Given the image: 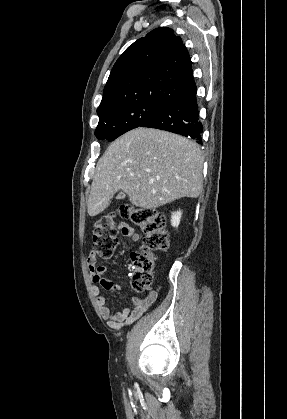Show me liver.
<instances>
[{"label": "liver", "mask_w": 287, "mask_h": 419, "mask_svg": "<svg viewBox=\"0 0 287 419\" xmlns=\"http://www.w3.org/2000/svg\"><path fill=\"white\" fill-rule=\"evenodd\" d=\"M203 162L192 140L152 128L133 129L112 142L99 159L87 212L91 217L103 212L119 190L143 209L197 198L203 190Z\"/></svg>", "instance_id": "6515ba94"}]
</instances>
